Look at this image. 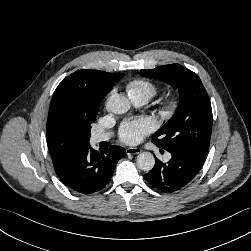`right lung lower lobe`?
<instances>
[{
  "mask_svg": "<svg viewBox=\"0 0 251 251\" xmlns=\"http://www.w3.org/2000/svg\"><path fill=\"white\" fill-rule=\"evenodd\" d=\"M125 156L120 146L113 145L98 152L88 144L74 153L56 173L67 187L89 195L110 182L117 162Z\"/></svg>",
  "mask_w": 251,
  "mask_h": 251,
  "instance_id": "right-lung-lower-lobe-1",
  "label": "right lung lower lobe"
}]
</instances>
